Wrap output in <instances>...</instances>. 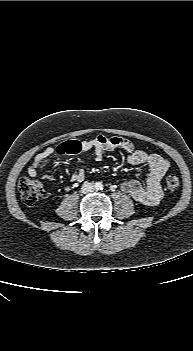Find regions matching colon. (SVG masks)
<instances>
[{
  "instance_id": "obj_1",
  "label": "colon",
  "mask_w": 193,
  "mask_h": 351,
  "mask_svg": "<svg viewBox=\"0 0 193 351\" xmlns=\"http://www.w3.org/2000/svg\"><path fill=\"white\" fill-rule=\"evenodd\" d=\"M67 155H71V154H67ZM48 158L41 160L39 165L45 164ZM179 184H180V179L176 173H171L166 177V186L168 189L174 190L179 186ZM18 189H19L22 201L27 205L36 204L44 193L43 185L39 181L30 179V178L20 179L18 183Z\"/></svg>"
}]
</instances>
